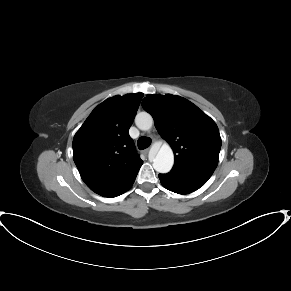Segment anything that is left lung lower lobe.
<instances>
[{
    "label": "left lung lower lobe",
    "instance_id": "obj_1",
    "mask_svg": "<svg viewBox=\"0 0 291 291\" xmlns=\"http://www.w3.org/2000/svg\"><path fill=\"white\" fill-rule=\"evenodd\" d=\"M159 179L166 189L178 194L194 192L207 182L206 179L183 176L172 172L159 174Z\"/></svg>",
    "mask_w": 291,
    "mask_h": 291
}]
</instances>
